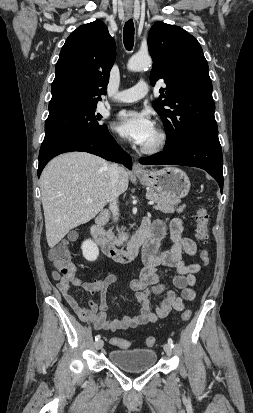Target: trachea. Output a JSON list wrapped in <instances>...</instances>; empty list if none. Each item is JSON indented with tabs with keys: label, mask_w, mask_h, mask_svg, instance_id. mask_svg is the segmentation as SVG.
I'll return each mask as SVG.
<instances>
[{
	"label": "trachea",
	"mask_w": 253,
	"mask_h": 413,
	"mask_svg": "<svg viewBox=\"0 0 253 413\" xmlns=\"http://www.w3.org/2000/svg\"><path fill=\"white\" fill-rule=\"evenodd\" d=\"M123 42L127 50H132L134 45V24L133 20H128L124 25Z\"/></svg>",
	"instance_id": "trachea-1"
}]
</instances>
